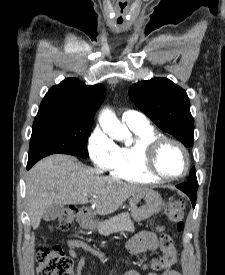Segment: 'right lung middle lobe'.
<instances>
[{"label": "right lung middle lobe", "instance_id": "right-lung-middle-lobe-1", "mask_svg": "<svg viewBox=\"0 0 225 275\" xmlns=\"http://www.w3.org/2000/svg\"><path fill=\"white\" fill-rule=\"evenodd\" d=\"M92 125L93 121L71 118L35 119L28 165L55 153L88 157L86 143Z\"/></svg>", "mask_w": 225, "mask_h": 275}]
</instances>
